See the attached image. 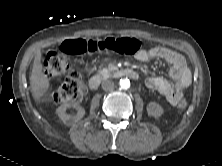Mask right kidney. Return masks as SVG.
Instances as JSON below:
<instances>
[{"label":"right kidney","mask_w":222,"mask_h":166,"mask_svg":"<svg viewBox=\"0 0 222 166\" xmlns=\"http://www.w3.org/2000/svg\"><path fill=\"white\" fill-rule=\"evenodd\" d=\"M71 106V103H64L56 109V114L58 115L62 123L66 126H71L72 124L78 122L85 115V110L81 106H77L76 115L72 116L67 114L66 109Z\"/></svg>","instance_id":"1"}]
</instances>
